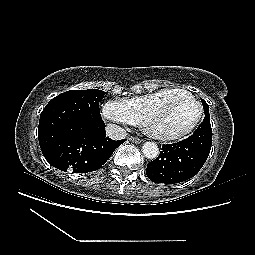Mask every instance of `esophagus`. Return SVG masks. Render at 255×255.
Listing matches in <instances>:
<instances>
[{
  "mask_svg": "<svg viewBox=\"0 0 255 255\" xmlns=\"http://www.w3.org/2000/svg\"><path fill=\"white\" fill-rule=\"evenodd\" d=\"M129 140L132 141L133 143H141L143 140L139 139V138H136V137H133V136H130L129 137Z\"/></svg>",
  "mask_w": 255,
  "mask_h": 255,
  "instance_id": "1",
  "label": "esophagus"
}]
</instances>
